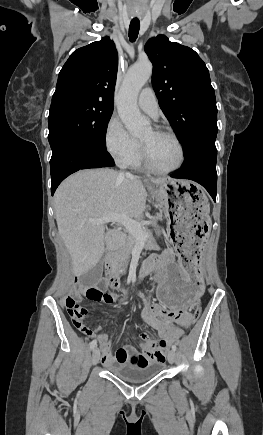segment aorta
Masks as SVG:
<instances>
[{
	"label": "aorta",
	"mask_w": 263,
	"mask_h": 435,
	"mask_svg": "<svg viewBox=\"0 0 263 435\" xmlns=\"http://www.w3.org/2000/svg\"><path fill=\"white\" fill-rule=\"evenodd\" d=\"M152 75L149 61L132 66L124 79L119 92L117 110L128 132L133 136H142L150 131V123L137 107V97L141 88Z\"/></svg>",
	"instance_id": "1"
}]
</instances>
